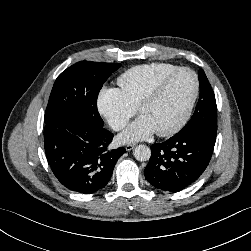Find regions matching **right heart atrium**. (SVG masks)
Returning a JSON list of instances; mask_svg holds the SVG:
<instances>
[{"mask_svg":"<svg viewBox=\"0 0 251 251\" xmlns=\"http://www.w3.org/2000/svg\"><path fill=\"white\" fill-rule=\"evenodd\" d=\"M97 109L115 131L124 129L135 113L122 92L110 87H104L100 91L97 97Z\"/></svg>","mask_w":251,"mask_h":251,"instance_id":"d8ad5b80","label":"right heart atrium"}]
</instances>
